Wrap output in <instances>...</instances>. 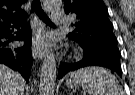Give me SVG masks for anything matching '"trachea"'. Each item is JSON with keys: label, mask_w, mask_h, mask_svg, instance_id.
Returning <instances> with one entry per match:
<instances>
[{"label": "trachea", "mask_w": 135, "mask_h": 95, "mask_svg": "<svg viewBox=\"0 0 135 95\" xmlns=\"http://www.w3.org/2000/svg\"><path fill=\"white\" fill-rule=\"evenodd\" d=\"M35 11L38 17L45 22L48 25H54L52 21L49 19V17L46 15V13L43 11L41 7L40 0H33L31 4V12Z\"/></svg>", "instance_id": "trachea-1"}]
</instances>
